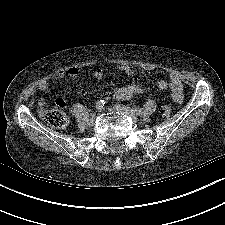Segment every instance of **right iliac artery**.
<instances>
[{"instance_id": "right-iliac-artery-1", "label": "right iliac artery", "mask_w": 225, "mask_h": 225, "mask_svg": "<svg viewBox=\"0 0 225 225\" xmlns=\"http://www.w3.org/2000/svg\"><path fill=\"white\" fill-rule=\"evenodd\" d=\"M104 104H105L104 100H99V101H97V102H96V109H97V110L103 109Z\"/></svg>"}]
</instances>
